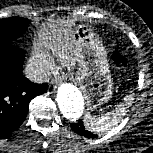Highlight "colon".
<instances>
[{
	"label": "colon",
	"instance_id": "colon-1",
	"mask_svg": "<svg viewBox=\"0 0 153 153\" xmlns=\"http://www.w3.org/2000/svg\"><path fill=\"white\" fill-rule=\"evenodd\" d=\"M112 61L114 66L119 69V70H123L127 67V60L124 57V55L118 51V50H114L112 53Z\"/></svg>",
	"mask_w": 153,
	"mask_h": 153
}]
</instances>
